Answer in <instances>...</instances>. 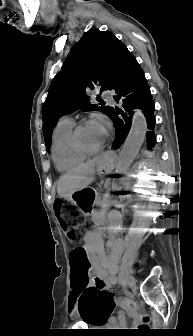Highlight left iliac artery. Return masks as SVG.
Listing matches in <instances>:
<instances>
[{
    "label": "left iliac artery",
    "instance_id": "left-iliac-artery-1",
    "mask_svg": "<svg viewBox=\"0 0 193 336\" xmlns=\"http://www.w3.org/2000/svg\"><path fill=\"white\" fill-rule=\"evenodd\" d=\"M124 281H125L124 273L121 272V273L119 274V282H120V283H124Z\"/></svg>",
    "mask_w": 193,
    "mask_h": 336
}]
</instances>
